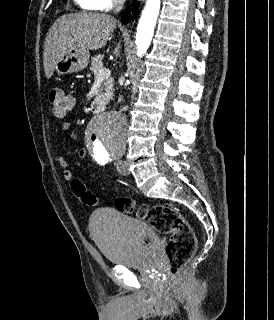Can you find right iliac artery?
I'll return each mask as SVG.
<instances>
[{"label":"right iliac artery","mask_w":274,"mask_h":320,"mask_svg":"<svg viewBox=\"0 0 274 320\" xmlns=\"http://www.w3.org/2000/svg\"><path fill=\"white\" fill-rule=\"evenodd\" d=\"M107 162H108V159H106V160H101V161H98V163H100V164H102V165L106 164Z\"/></svg>","instance_id":"obj_1"}]
</instances>
